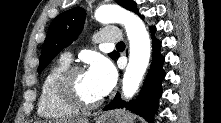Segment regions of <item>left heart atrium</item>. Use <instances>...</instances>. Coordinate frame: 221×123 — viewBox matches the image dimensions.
Segmentation results:
<instances>
[{"label":"left heart atrium","mask_w":221,"mask_h":123,"mask_svg":"<svg viewBox=\"0 0 221 123\" xmlns=\"http://www.w3.org/2000/svg\"><path fill=\"white\" fill-rule=\"evenodd\" d=\"M87 73L102 97L111 91L116 82V70L113 64L102 56L91 60Z\"/></svg>","instance_id":"1"}]
</instances>
